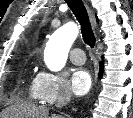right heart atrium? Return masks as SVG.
<instances>
[{
  "mask_svg": "<svg viewBox=\"0 0 133 118\" xmlns=\"http://www.w3.org/2000/svg\"><path fill=\"white\" fill-rule=\"evenodd\" d=\"M37 95L40 101L52 104L70 97L66 79L56 73L41 71L35 77Z\"/></svg>",
  "mask_w": 133,
  "mask_h": 118,
  "instance_id": "d8ad5b80",
  "label": "right heart atrium"
}]
</instances>
